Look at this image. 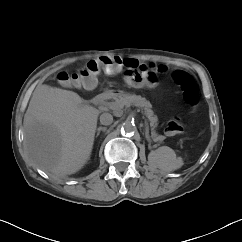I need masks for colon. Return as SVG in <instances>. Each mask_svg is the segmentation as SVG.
Wrapping results in <instances>:
<instances>
[{
	"instance_id": "1",
	"label": "colon",
	"mask_w": 242,
	"mask_h": 242,
	"mask_svg": "<svg viewBox=\"0 0 242 242\" xmlns=\"http://www.w3.org/2000/svg\"><path fill=\"white\" fill-rule=\"evenodd\" d=\"M155 69L156 66L141 64L135 59L107 55L89 61L74 72H61L58 80L66 86L91 87L101 71H123L131 85H145L156 81ZM160 71H165V68H160ZM173 79L182 88L184 101L190 106L195 105L198 101V90L193 78L186 72L176 70L173 72ZM182 130L183 125L179 120H172L166 126L168 135L178 134Z\"/></svg>"
}]
</instances>
